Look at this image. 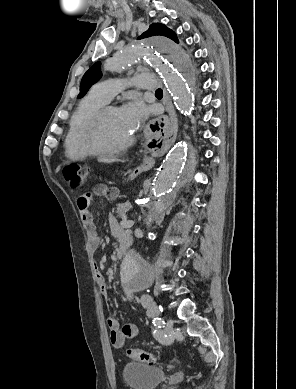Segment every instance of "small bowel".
I'll return each mask as SVG.
<instances>
[{
	"instance_id": "obj_1",
	"label": "small bowel",
	"mask_w": 296,
	"mask_h": 389,
	"mask_svg": "<svg viewBox=\"0 0 296 389\" xmlns=\"http://www.w3.org/2000/svg\"><path fill=\"white\" fill-rule=\"evenodd\" d=\"M117 195V188H109L105 185H98L92 190V192L81 195L77 200L80 217L88 234L90 248L93 251H96L99 248L100 237L89 208L94 199L97 197L115 199ZM109 223L112 234L118 240L123 236L130 235L126 230L119 226L113 216L110 217ZM96 276L100 283L101 294L106 298L108 296V287L104 277L98 270L96 272ZM140 304L146 310L147 315H153L155 313V303L149 295H142L140 297ZM107 326L109 328L110 343L113 347L118 349L123 348L127 340L134 339L138 334V328L134 323H126L123 327H121L120 322L114 317H108Z\"/></svg>"
}]
</instances>
